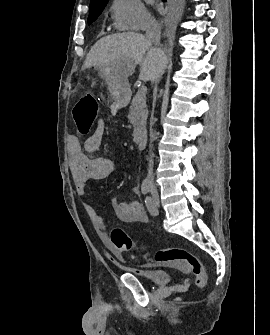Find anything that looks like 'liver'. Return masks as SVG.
<instances>
[{"instance_id": "6515ba94", "label": "liver", "mask_w": 270, "mask_h": 335, "mask_svg": "<svg viewBox=\"0 0 270 335\" xmlns=\"http://www.w3.org/2000/svg\"><path fill=\"white\" fill-rule=\"evenodd\" d=\"M137 64H141L142 80L153 82L164 74L166 56L162 48H153L152 42L142 34L123 32L100 38L87 54L83 68L94 66L102 74L105 68H110L111 78L128 84L127 78L134 74Z\"/></svg>"}]
</instances>
